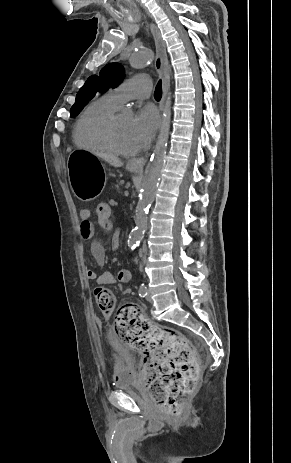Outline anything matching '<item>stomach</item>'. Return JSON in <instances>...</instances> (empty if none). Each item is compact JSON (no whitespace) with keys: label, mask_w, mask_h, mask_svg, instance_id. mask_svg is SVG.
I'll return each instance as SVG.
<instances>
[{"label":"stomach","mask_w":291,"mask_h":463,"mask_svg":"<svg viewBox=\"0 0 291 463\" xmlns=\"http://www.w3.org/2000/svg\"><path fill=\"white\" fill-rule=\"evenodd\" d=\"M128 170L136 172L131 166ZM68 179L74 195L82 201L94 200L102 191L104 172L98 157L84 150L72 151L67 160Z\"/></svg>","instance_id":"obj_1"}]
</instances>
